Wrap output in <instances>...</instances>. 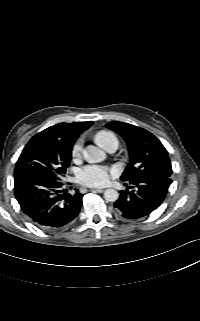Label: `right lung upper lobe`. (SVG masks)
<instances>
[{"instance_id":"obj_1","label":"right lung upper lobe","mask_w":200,"mask_h":321,"mask_svg":"<svg viewBox=\"0 0 200 321\" xmlns=\"http://www.w3.org/2000/svg\"><path fill=\"white\" fill-rule=\"evenodd\" d=\"M92 124L93 122L59 123L43 130L40 134L45 135L49 140L61 146L72 148L78 135Z\"/></svg>"}]
</instances>
